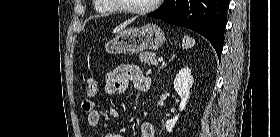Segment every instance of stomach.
<instances>
[{
    "label": "stomach",
    "instance_id": "stomach-1",
    "mask_svg": "<svg viewBox=\"0 0 280 137\" xmlns=\"http://www.w3.org/2000/svg\"><path fill=\"white\" fill-rule=\"evenodd\" d=\"M166 40L165 33L156 24L125 29L106 43L110 54H136L143 50L159 49Z\"/></svg>",
    "mask_w": 280,
    "mask_h": 137
}]
</instances>
